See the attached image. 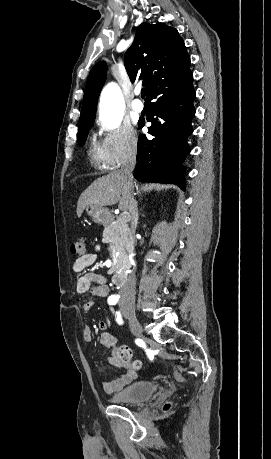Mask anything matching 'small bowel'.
Returning a JSON list of instances; mask_svg holds the SVG:
<instances>
[{
    "instance_id": "1",
    "label": "small bowel",
    "mask_w": 271,
    "mask_h": 459,
    "mask_svg": "<svg viewBox=\"0 0 271 459\" xmlns=\"http://www.w3.org/2000/svg\"><path fill=\"white\" fill-rule=\"evenodd\" d=\"M97 256V252L95 251L80 256L74 261L73 270L77 273H81L77 279V292L80 294L91 292L95 297L100 298L108 294L105 277L94 272L85 271L87 267L95 263ZM93 304L94 301L92 300L87 302L83 307L84 312H88ZM97 327L104 331L100 336L101 344L107 348H113L116 344V338L112 334L106 332L108 329L107 323L104 320H99ZM83 337L87 342L92 341L93 333L89 325L84 327ZM107 364L123 370V373L111 381L102 382L101 386L105 393L110 394L119 391L135 379V371L128 368L127 365L117 357L115 352L107 358Z\"/></svg>"
}]
</instances>
